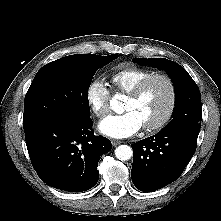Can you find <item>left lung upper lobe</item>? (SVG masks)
<instances>
[{
  "instance_id": "1",
  "label": "left lung upper lobe",
  "mask_w": 221,
  "mask_h": 221,
  "mask_svg": "<svg viewBox=\"0 0 221 221\" xmlns=\"http://www.w3.org/2000/svg\"><path fill=\"white\" fill-rule=\"evenodd\" d=\"M133 62L164 69L172 78L176 100L173 119L165 128L180 125L201 126V94L198 86L184 68L165 58H133Z\"/></svg>"
}]
</instances>
